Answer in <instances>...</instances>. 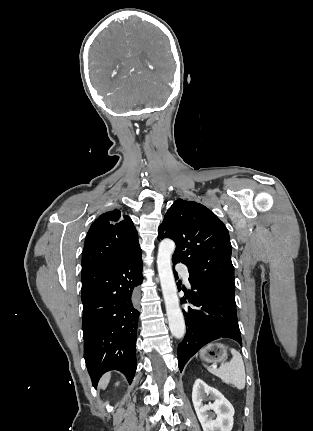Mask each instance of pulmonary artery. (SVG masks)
<instances>
[{"instance_id":"pulmonary-artery-1","label":"pulmonary artery","mask_w":313,"mask_h":431,"mask_svg":"<svg viewBox=\"0 0 313 431\" xmlns=\"http://www.w3.org/2000/svg\"><path fill=\"white\" fill-rule=\"evenodd\" d=\"M176 270L181 274V276L183 277L185 283L187 285H190V282H189L190 274H189L187 266L184 265V264H181V263L177 264Z\"/></svg>"}]
</instances>
